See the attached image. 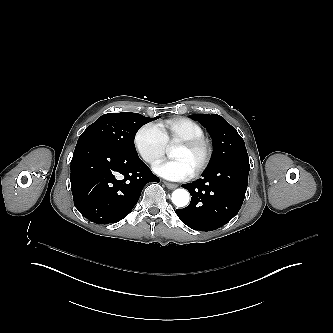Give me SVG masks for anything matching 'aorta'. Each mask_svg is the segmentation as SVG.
Listing matches in <instances>:
<instances>
[{
	"label": "aorta",
	"instance_id": "1",
	"mask_svg": "<svg viewBox=\"0 0 333 333\" xmlns=\"http://www.w3.org/2000/svg\"><path fill=\"white\" fill-rule=\"evenodd\" d=\"M167 154V152H166ZM172 154V151H170L167 156H170ZM189 192L185 189H176L172 193V202L177 207H184L189 203Z\"/></svg>",
	"mask_w": 333,
	"mask_h": 333
}]
</instances>
